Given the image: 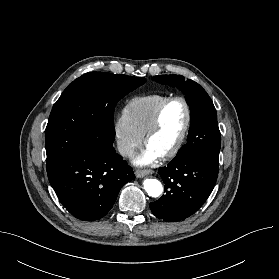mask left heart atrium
<instances>
[{
  "mask_svg": "<svg viewBox=\"0 0 279 279\" xmlns=\"http://www.w3.org/2000/svg\"><path fill=\"white\" fill-rule=\"evenodd\" d=\"M158 157L159 155L148 147L146 151L136 159V163L150 164L154 162Z\"/></svg>",
  "mask_w": 279,
  "mask_h": 279,
  "instance_id": "1",
  "label": "left heart atrium"
}]
</instances>
